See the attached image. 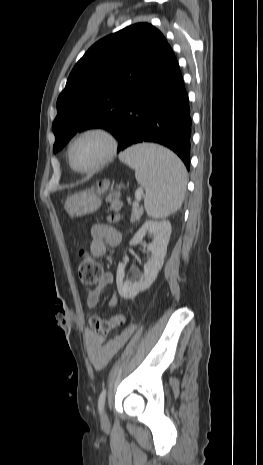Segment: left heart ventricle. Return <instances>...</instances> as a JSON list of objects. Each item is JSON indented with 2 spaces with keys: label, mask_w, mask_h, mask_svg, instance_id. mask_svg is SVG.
I'll list each match as a JSON object with an SVG mask.
<instances>
[{
  "label": "left heart ventricle",
  "mask_w": 263,
  "mask_h": 465,
  "mask_svg": "<svg viewBox=\"0 0 263 465\" xmlns=\"http://www.w3.org/2000/svg\"><path fill=\"white\" fill-rule=\"evenodd\" d=\"M108 142L97 134L79 139L72 148V160L79 169L95 166L107 153Z\"/></svg>",
  "instance_id": "obj_1"
}]
</instances>
